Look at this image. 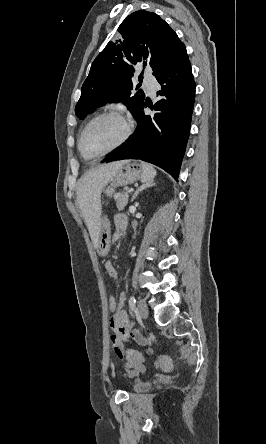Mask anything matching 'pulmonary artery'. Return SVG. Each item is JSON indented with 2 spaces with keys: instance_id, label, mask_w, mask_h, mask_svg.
I'll return each mask as SVG.
<instances>
[{
  "instance_id": "e3ab8cb5",
  "label": "pulmonary artery",
  "mask_w": 266,
  "mask_h": 444,
  "mask_svg": "<svg viewBox=\"0 0 266 444\" xmlns=\"http://www.w3.org/2000/svg\"><path fill=\"white\" fill-rule=\"evenodd\" d=\"M143 82H144L147 92L150 95H154L156 87H157V81L155 80V78L148 75V74H145L144 78H143Z\"/></svg>"
}]
</instances>
